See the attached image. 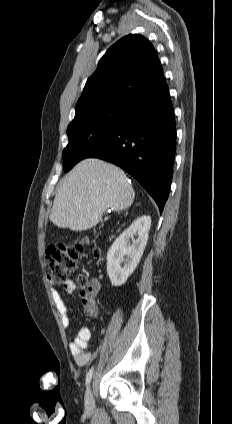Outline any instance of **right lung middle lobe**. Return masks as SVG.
<instances>
[{
  "label": "right lung middle lobe",
  "instance_id": "1",
  "mask_svg": "<svg viewBox=\"0 0 232 424\" xmlns=\"http://www.w3.org/2000/svg\"><path fill=\"white\" fill-rule=\"evenodd\" d=\"M131 105L103 104L77 114L67 128L69 144L63 150L64 171L86 158L98 145L128 120Z\"/></svg>",
  "mask_w": 232,
  "mask_h": 424
}]
</instances>
